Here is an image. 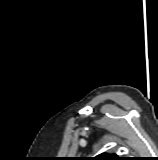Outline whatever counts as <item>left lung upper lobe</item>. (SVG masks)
Instances as JSON below:
<instances>
[{
    "instance_id": "obj_1",
    "label": "left lung upper lobe",
    "mask_w": 158,
    "mask_h": 160,
    "mask_svg": "<svg viewBox=\"0 0 158 160\" xmlns=\"http://www.w3.org/2000/svg\"><path fill=\"white\" fill-rule=\"evenodd\" d=\"M91 160H124L121 157H118L116 154H106V153H102L94 158H92Z\"/></svg>"
}]
</instances>
